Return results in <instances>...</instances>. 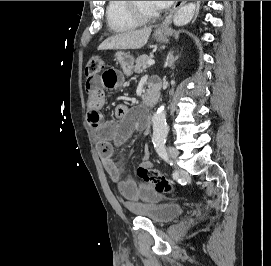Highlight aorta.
I'll return each mask as SVG.
<instances>
[{"label": "aorta", "instance_id": "obj_1", "mask_svg": "<svg viewBox=\"0 0 271 266\" xmlns=\"http://www.w3.org/2000/svg\"><path fill=\"white\" fill-rule=\"evenodd\" d=\"M197 5L189 3L182 6L174 15L173 23L176 26L188 24L194 17ZM153 122V140H164L168 134V126L166 124V111L164 106H160L152 118Z\"/></svg>", "mask_w": 271, "mask_h": 266}]
</instances>
